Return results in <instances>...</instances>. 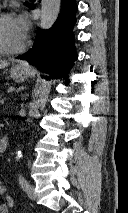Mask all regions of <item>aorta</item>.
I'll list each match as a JSON object with an SVG mask.
<instances>
[{"instance_id": "obj_1", "label": "aorta", "mask_w": 128, "mask_h": 213, "mask_svg": "<svg viewBox=\"0 0 128 213\" xmlns=\"http://www.w3.org/2000/svg\"><path fill=\"white\" fill-rule=\"evenodd\" d=\"M61 6V0H41V15L40 26L43 29H49L53 26L58 18ZM38 112L37 103H31L29 105V115L32 116ZM22 158V152L18 150L16 152V160Z\"/></svg>"}]
</instances>
